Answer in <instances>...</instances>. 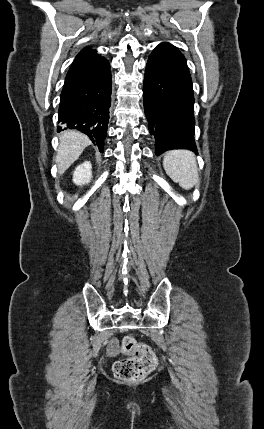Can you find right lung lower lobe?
Segmentation results:
<instances>
[{
    "label": "right lung lower lobe",
    "mask_w": 264,
    "mask_h": 429,
    "mask_svg": "<svg viewBox=\"0 0 264 429\" xmlns=\"http://www.w3.org/2000/svg\"><path fill=\"white\" fill-rule=\"evenodd\" d=\"M111 77L108 60L96 51L75 59L65 79L58 111V122L88 135L100 152L107 135Z\"/></svg>",
    "instance_id": "right-lung-lower-lobe-1"
}]
</instances>
